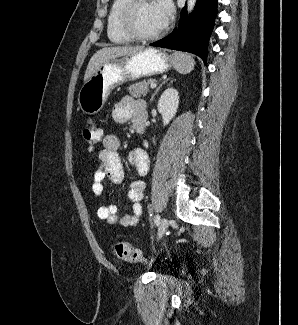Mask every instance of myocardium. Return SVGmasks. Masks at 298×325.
<instances>
[{"label": "myocardium", "instance_id": "f54148a6", "mask_svg": "<svg viewBox=\"0 0 298 325\" xmlns=\"http://www.w3.org/2000/svg\"><path fill=\"white\" fill-rule=\"evenodd\" d=\"M142 1L145 0H127L120 12L118 24L121 33L128 37L130 40L138 42H150L156 40L161 35H163L166 30V27L164 26L161 30L147 36L139 35L132 29L131 25L129 24L131 13L133 9Z\"/></svg>", "mask_w": 298, "mask_h": 325}]
</instances>
